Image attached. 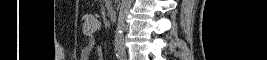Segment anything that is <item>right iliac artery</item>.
Here are the masks:
<instances>
[{
  "mask_svg": "<svg viewBox=\"0 0 267 60\" xmlns=\"http://www.w3.org/2000/svg\"><path fill=\"white\" fill-rule=\"evenodd\" d=\"M118 58H120L121 56L120 55H117Z\"/></svg>",
  "mask_w": 267,
  "mask_h": 60,
  "instance_id": "obj_1",
  "label": "right iliac artery"
}]
</instances>
